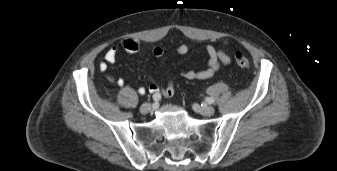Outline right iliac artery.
<instances>
[{
  "mask_svg": "<svg viewBox=\"0 0 337 171\" xmlns=\"http://www.w3.org/2000/svg\"><path fill=\"white\" fill-rule=\"evenodd\" d=\"M160 98H161V95H160V94H154V95H153V100L156 101V102L159 101Z\"/></svg>",
  "mask_w": 337,
  "mask_h": 171,
  "instance_id": "obj_1",
  "label": "right iliac artery"
}]
</instances>
